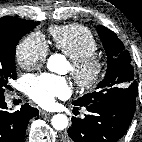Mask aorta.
<instances>
[{"instance_id":"762f6f07","label":"aorta","mask_w":142,"mask_h":142,"mask_svg":"<svg viewBox=\"0 0 142 142\" xmlns=\"http://www.w3.org/2000/svg\"><path fill=\"white\" fill-rule=\"evenodd\" d=\"M66 67L65 58L61 55H52L47 62V68L51 72L62 74ZM51 124L56 130H64L68 126V118L64 114H56L51 119Z\"/></svg>"}]
</instances>
